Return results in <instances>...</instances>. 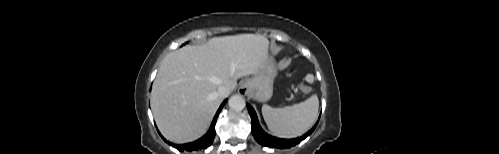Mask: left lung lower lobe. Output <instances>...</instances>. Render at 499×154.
<instances>
[{
  "label": "left lung lower lobe",
  "mask_w": 499,
  "mask_h": 154,
  "mask_svg": "<svg viewBox=\"0 0 499 154\" xmlns=\"http://www.w3.org/2000/svg\"><path fill=\"white\" fill-rule=\"evenodd\" d=\"M247 108H248L249 114L251 116V128H252V133H253L254 138L261 145L268 146L271 148L277 147L280 149H285V148H290V147L300 143L302 140H304L307 136H309L314 131V129L316 128V126L318 124V121H317L311 130H309L306 134H304L303 136H301L299 138L290 139V140L280 139V138H276V137L270 136L267 133H265L263 131V129L261 128V126L259 125L258 118H257V115H256L254 109L249 104H247Z\"/></svg>",
  "instance_id": "left-lung-lower-lobe-1"
}]
</instances>
